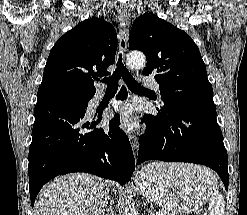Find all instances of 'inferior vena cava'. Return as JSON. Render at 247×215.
Segmentation results:
<instances>
[{
    "mask_svg": "<svg viewBox=\"0 0 247 215\" xmlns=\"http://www.w3.org/2000/svg\"><path fill=\"white\" fill-rule=\"evenodd\" d=\"M110 204H112V203L110 202ZM108 211H109V209H108ZM112 215H114L113 212H112Z\"/></svg>",
    "mask_w": 247,
    "mask_h": 215,
    "instance_id": "1",
    "label": "inferior vena cava"
}]
</instances>
